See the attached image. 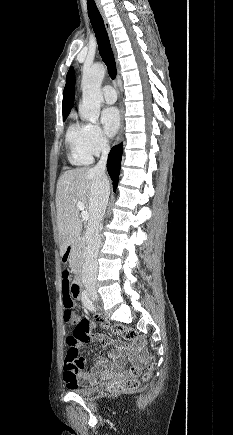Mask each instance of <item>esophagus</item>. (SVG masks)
<instances>
[{"label":"esophagus","instance_id":"esophagus-1","mask_svg":"<svg viewBox=\"0 0 233 435\" xmlns=\"http://www.w3.org/2000/svg\"><path fill=\"white\" fill-rule=\"evenodd\" d=\"M96 4H97L99 12H100V14H101V16H102V18L104 20V24H105L106 30H107L109 38H110L111 47H112L113 53H114V55L116 57V49H115V46H114V42H113V37H112V34H111L110 26H109V23H108L107 18L105 16V13H104V9H103V7H102V5H101L99 0H96ZM123 134H124V107L121 104L120 105V129H119L118 135L116 137V144H119L121 142V140L123 138Z\"/></svg>","mask_w":233,"mask_h":435}]
</instances>
